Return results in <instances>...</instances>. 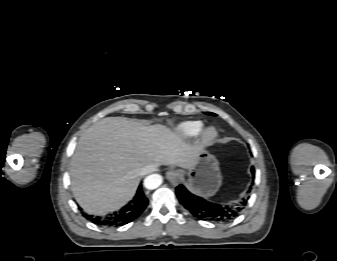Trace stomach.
<instances>
[{
    "label": "stomach",
    "instance_id": "stomach-1",
    "mask_svg": "<svg viewBox=\"0 0 337 261\" xmlns=\"http://www.w3.org/2000/svg\"><path fill=\"white\" fill-rule=\"evenodd\" d=\"M187 170V187L194 193L210 197L222 184L218 161L204 148L200 149L195 165Z\"/></svg>",
    "mask_w": 337,
    "mask_h": 261
}]
</instances>
